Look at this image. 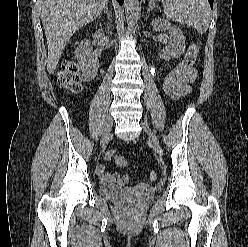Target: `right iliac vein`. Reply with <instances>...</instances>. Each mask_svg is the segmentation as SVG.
I'll list each match as a JSON object with an SVG mask.
<instances>
[{
  "mask_svg": "<svg viewBox=\"0 0 248 247\" xmlns=\"http://www.w3.org/2000/svg\"><path fill=\"white\" fill-rule=\"evenodd\" d=\"M111 130H112V122L109 121L100 142L102 146H104L111 139L112 137Z\"/></svg>",
  "mask_w": 248,
  "mask_h": 247,
  "instance_id": "right-iliac-vein-1",
  "label": "right iliac vein"
}]
</instances>
